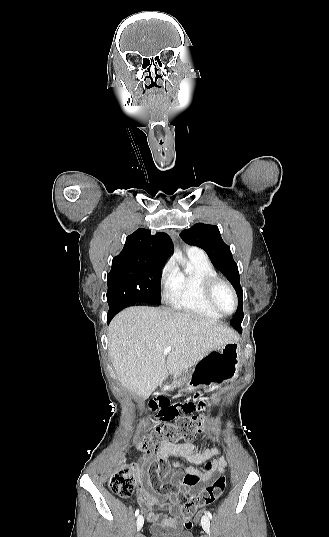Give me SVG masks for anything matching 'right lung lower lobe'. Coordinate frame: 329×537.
Listing matches in <instances>:
<instances>
[{"mask_svg": "<svg viewBox=\"0 0 329 537\" xmlns=\"http://www.w3.org/2000/svg\"><path fill=\"white\" fill-rule=\"evenodd\" d=\"M115 316V315H114ZM112 315H108V319H107V322L109 323L111 321V319L114 317Z\"/></svg>", "mask_w": 329, "mask_h": 537, "instance_id": "right-lung-lower-lobe-1", "label": "right lung lower lobe"}]
</instances>
